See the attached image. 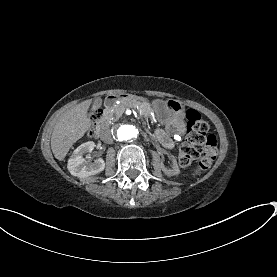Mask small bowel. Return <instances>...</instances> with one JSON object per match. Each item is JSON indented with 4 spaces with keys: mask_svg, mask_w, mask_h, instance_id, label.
<instances>
[{
    "mask_svg": "<svg viewBox=\"0 0 277 277\" xmlns=\"http://www.w3.org/2000/svg\"><path fill=\"white\" fill-rule=\"evenodd\" d=\"M183 134V128L179 127L177 129V137H180ZM157 136L164 147L172 148L174 146L173 138L164 130H158Z\"/></svg>",
    "mask_w": 277,
    "mask_h": 277,
    "instance_id": "1",
    "label": "small bowel"
}]
</instances>
